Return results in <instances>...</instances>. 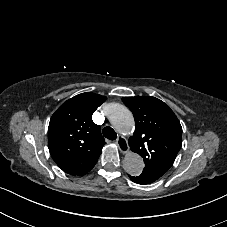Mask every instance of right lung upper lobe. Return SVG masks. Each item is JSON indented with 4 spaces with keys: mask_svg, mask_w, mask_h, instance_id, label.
Here are the masks:
<instances>
[{
    "mask_svg": "<svg viewBox=\"0 0 227 227\" xmlns=\"http://www.w3.org/2000/svg\"><path fill=\"white\" fill-rule=\"evenodd\" d=\"M105 100V96L82 93L64 102L52 115L48 147L64 172L84 175L96 164L105 139L100 126L92 121V114Z\"/></svg>",
    "mask_w": 227,
    "mask_h": 227,
    "instance_id": "right-lung-upper-lobe-1",
    "label": "right lung upper lobe"
}]
</instances>
